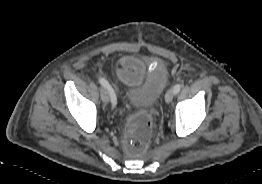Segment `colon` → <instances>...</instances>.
<instances>
[{"label": "colon", "mask_w": 262, "mask_h": 184, "mask_svg": "<svg viewBox=\"0 0 262 184\" xmlns=\"http://www.w3.org/2000/svg\"><path fill=\"white\" fill-rule=\"evenodd\" d=\"M151 118L147 114H138L130 122L127 150L132 154H141L148 145L151 133Z\"/></svg>", "instance_id": "obj_1"}]
</instances>
